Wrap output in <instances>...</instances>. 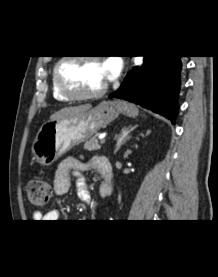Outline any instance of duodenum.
Returning <instances> with one entry per match:
<instances>
[{
  "label": "duodenum",
  "mask_w": 218,
  "mask_h": 277,
  "mask_svg": "<svg viewBox=\"0 0 218 277\" xmlns=\"http://www.w3.org/2000/svg\"><path fill=\"white\" fill-rule=\"evenodd\" d=\"M100 165H110V161L104 157H98ZM112 193V183L109 177H104V180L99 184V191L102 196L110 195Z\"/></svg>",
  "instance_id": "1"
}]
</instances>
